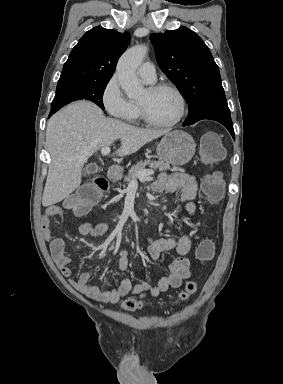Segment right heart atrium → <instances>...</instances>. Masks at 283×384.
<instances>
[{"mask_svg": "<svg viewBox=\"0 0 283 384\" xmlns=\"http://www.w3.org/2000/svg\"><path fill=\"white\" fill-rule=\"evenodd\" d=\"M101 99L105 110L117 124L125 126L132 121L134 104L125 96L116 74H113L106 81L102 89Z\"/></svg>", "mask_w": 283, "mask_h": 384, "instance_id": "1", "label": "right heart atrium"}]
</instances>
